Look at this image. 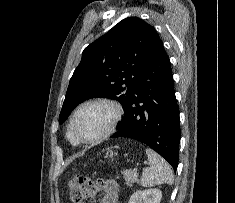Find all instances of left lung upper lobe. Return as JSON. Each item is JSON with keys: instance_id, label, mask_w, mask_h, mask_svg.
Returning <instances> with one entry per match:
<instances>
[{"instance_id": "obj_1", "label": "left lung upper lobe", "mask_w": 235, "mask_h": 203, "mask_svg": "<svg viewBox=\"0 0 235 203\" xmlns=\"http://www.w3.org/2000/svg\"><path fill=\"white\" fill-rule=\"evenodd\" d=\"M160 41L151 25L128 17L87 46L70 79L60 124L77 105L93 97L118 100L125 111Z\"/></svg>"}]
</instances>
